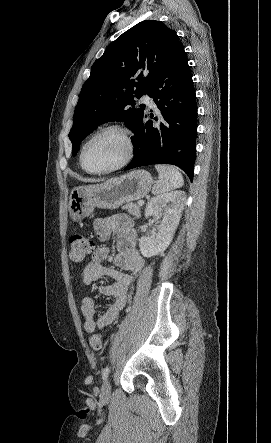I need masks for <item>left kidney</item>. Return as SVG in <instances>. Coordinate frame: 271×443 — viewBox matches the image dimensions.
Wrapping results in <instances>:
<instances>
[{
    "label": "left kidney",
    "instance_id": "left-kidney-1",
    "mask_svg": "<svg viewBox=\"0 0 271 443\" xmlns=\"http://www.w3.org/2000/svg\"><path fill=\"white\" fill-rule=\"evenodd\" d=\"M185 200V192H170V194H162V196L152 198L148 202L145 210L146 218L156 216V218H161V223L159 233L151 235V237H146V235L140 237L139 247L144 257L158 255L170 245L173 233L180 222Z\"/></svg>",
    "mask_w": 271,
    "mask_h": 443
}]
</instances>
